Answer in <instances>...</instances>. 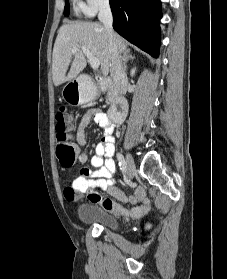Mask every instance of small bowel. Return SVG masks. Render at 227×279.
<instances>
[{
  "mask_svg": "<svg viewBox=\"0 0 227 279\" xmlns=\"http://www.w3.org/2000/svg\"><path fill=\"white\" fill-rule=\"evenodd\" d=\"M94 121L103 129L101 141L96 145L95 155L89 157L86 151H81L78 155V161L81 164L89 163V166L82 168L80 175L76 177L65 190V196L69 201L77 198V193L89 191L90 197L98 194L95 188L100 187L111 195L112 198H91L93 202L101 205L104 209L121 215L141 216L150 210V200L146 197L143 188H138L135 195L127 197L116 186L114 178L116 164L113 159L115 153V137L113 127L107 115L100 109H89L81 117L76 139L80 146L86 144V127L91 121ZM139 202L138 206L125 207L119 203Z\"/></svg>",
  "mask_w": 227,
  "mask_h": 279,
  "instance_id": "obj_1",
  "label": "small bowel"
}]
</instances>
